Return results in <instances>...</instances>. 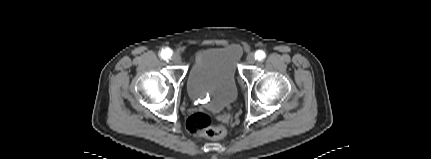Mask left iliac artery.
I'll use <instances>...</instances> for the list:
<instances>
[{
	"mask_svg": "<svg viewBox=\"0 0 431 159\" xmlns=\"http://www.w3.org/2000/svg\"><path fill=\"white\" fill-rule=\"evenodd\" d=\"M265 53L262 51V50H258L256 53H255V57H256V59H258V60H263L264 58H265Z\"/></svg>",
	"mask_w": 431,
	"mask_h": 159,
	"instance_id": "left-iliac-artery-1",
	"label": "left iliac artery"
}]
</instances>
